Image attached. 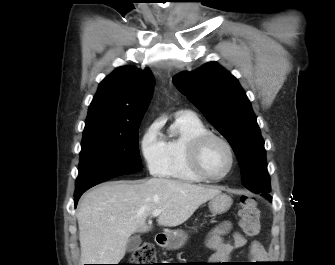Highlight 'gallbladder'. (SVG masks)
I'll return each instance as SVG.
<instances>
[{
    "mask_svg": "<svg viewBox=\"0 0 335 265\" xmlns=\"http://www.w3.org/2000/svg\"><path fill=\"white\" fill-rule=\"evenodd\" d=\"M141 242H142V240H141L139 235H135V236L131 237L127 242L126 251L127 252H133V251L137 250L138 247L140 246Z\"/></svg>",
    "mask_w": 335,
    "mask_h": 265,
    "instance_id": "gallbladder-1",
    "label": "gallbladder"
}]
</instances>
